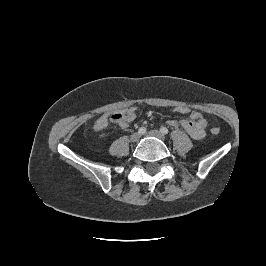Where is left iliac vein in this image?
Wrapping results in <instances>:
<instances>
[{
	"label": "left iliac vein",
	"instance_id": "obj_1",
	"mask_svg": "<svg viewBox=\"0 0 266 266\" xmlns=\"http://www.w3.org/2000/svg\"><path fill=\"white\" fill-rule=\"evenodd\" d=\"M146 136L155 137V138H158V139H160L162 141L165 140V136L161 132H159L157 130H151V131L147 132Z\"/></svg>",
	"mask_w": 266,
	"mask_h": 266
}]
</instances>
